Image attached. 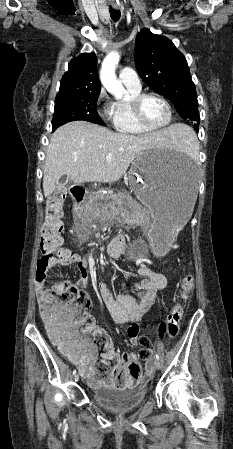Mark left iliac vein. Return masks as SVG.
I'll list each match as a JSON object with an SVG mask.
<instances>
[{"label":"left iliac vein","mask_w":233,"mask_h":449,"mask_svg":"<svg viewBox=\"0 0 233 449\" xmlns=\"http://www.w3.org/2000/svg\"><path fill=\"white\" fill-rule=\"evenodd\" d=\"M161 367H162V365H161V363L159 362V360H156V361H155V368H156L157 370H160Z\"/></svg>","instance_id":"left-iliac-vein-1"}]
</instances>
